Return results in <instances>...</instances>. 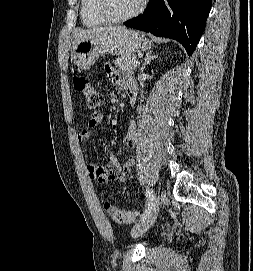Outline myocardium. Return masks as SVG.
I'll list each match as a JSON object with an SVG mask.
<instances>
[{
	"mask_svg": "<svg viewBox=\"0 0 253 271\" xmlns=\"http://www.w3.org/2000/svg\"><path fill=\"white\" fill-rule=\"evenodd\" d=\"M109 2V0H97V10L99 14L108 22L120 23L139 16L146 8L148 0H141L136 9L122 16H118L112 12Z\"/></svg>",
	"mask_w": 253,
	"mask_h": 271,
	"instance_id": "1",
	"label": "myocardium"
}]
</instances>
